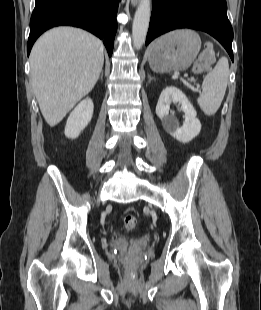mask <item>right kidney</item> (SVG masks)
Listing matches in <instances>:
<instances>
[{
  "instance_id": "obj_1",
  "label": "right kidney",
  "mask_w": 261,
  "mask_h": 310,
  "mask_svg": "<svg viewBox=\"0 0 261 310\" xmlns=\"http://www.w3.org/2000/svg\"><path fill=\"white\" fill-rule=\"evenodd\" d=\"M93 109V101L90 98L81 101L68 117L64 131L65 136L71 139L77 138L90 123Z\"/></svg>"
}]
</instances>
